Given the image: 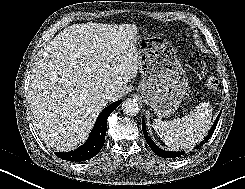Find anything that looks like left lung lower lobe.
<instances>
[{
    "label": "left lung lower lobe",
    "instance_id": "1",
    "mask_svg": "<svg viewBox=\"0 0 245 189\" xmlns=\"http://www.w3.org/2000/svg\"><path fill=\"white\" fill-rule=\"evenodd\" d=\"M221 114V113H220ZM220 114L218 115V117L216 118L215 120V123L213 124L211 130L209 131L208 135L206 138H204V140L195 147V149H198L200 146H202L203 144H205V142L208 141V139L210 138V136L213 134L215 128H216V124L219 120V117H220ZM142 130H143V134H144V137L147 141V144L150 146V148L152 149V151L160 156V157H163V158H175V157H180L182 155H184V151H181V152H173V151H165V150H162L160 149L153 141L152 139L148 136V133L146 131V127H145V121L144 119L142 120Z\"/></svg>",
    "mask_w": 245,
    "mask_h": 189
}]
</instances>
